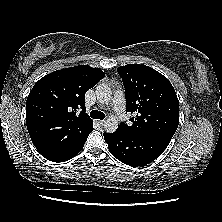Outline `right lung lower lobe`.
<instances>
[{"label":"right lung lower lobe","instance_id":"right-lung-lower-lobe-1","mask_svg":"<svg viewBox=\"0 0 222 222\" xmlns=\"http://www.w3.org/2000/svg\"><path fill=\"white\" fill-rule=\"evenodd\" d=\"M88 135L85 136L80 141L66 143L60 146H56V147L46 148V149L40 150L39 153L42 154L46 159L53 162H64V161L70 160L77 153L81 151V149L83 148L87 140Z\"/></svg>","mask_w":222,"mask_h":222}]
</instances>
